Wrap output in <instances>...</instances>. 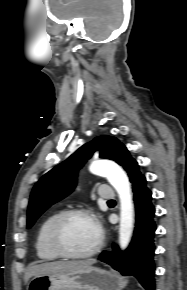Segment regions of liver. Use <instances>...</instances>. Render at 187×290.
Wrapping results in <instances>:
<instances>
[{"instance_id": "6515ba94", "label": "liver", "mask_w": 187, "mask_h": 290, "mask_svg": "<svg viewBox=\"0 0 187 290\" xmlns=\"http://www.w3.org/2000/svg\"><path fill=\"white\" fill-rule=\"evenodd\" d=\"M95 263V260L85 261H54L38 265H31L25 273V282L28 283L31 277L49 274L57 271H73L88 267Z\"/></svg>"}]
</instances>
